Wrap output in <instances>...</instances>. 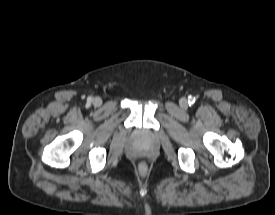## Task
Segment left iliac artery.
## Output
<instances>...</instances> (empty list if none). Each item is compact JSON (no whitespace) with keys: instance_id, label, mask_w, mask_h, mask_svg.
Here are the masks:
<instances>
[{"instance_id":"1","label":"left iliac artery","mask_w":275,"mask_h":215,"mask_svg":"<svg viewBox=\"0 0 275 215\" xmlns=\"http://www.w3.org/2000/svg\"><path fill=\"white\" fill-rule=\"evenodd\" d=\"M194 101H195V99L192 100V97H190V98H189V105H191V103H193Z\"/></svg>"}]
</instances>
